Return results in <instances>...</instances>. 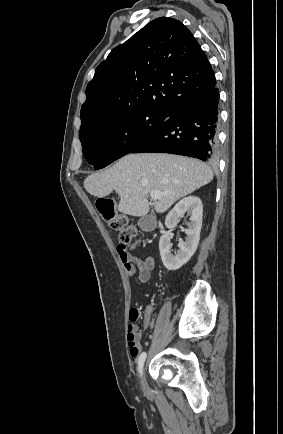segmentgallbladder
<instances>
[{
	"instance_id": "obj_1",
	"label": "gallbladder",
	"mask_w": 283,
	"mask_h": 434,
	"mask_svg": "<svg viewBox=\"0 0 283 434\" xmlns=\"http://www.w3.org/2000/svg\"><path fill=\"white\" fill-rule=\"evenodd\" d=\"M139 227L146 232H150L156 227V219L153 215H145L138 221Z\"/></svg>"
}]
</instances>
